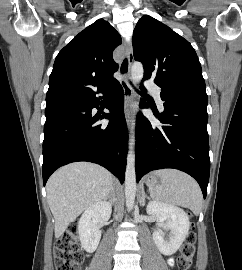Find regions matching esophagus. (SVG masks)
<instances>
[{
    "instance_id": "34e87169",
    "label": "esophagus",
    "mask_w": 242,
    "mask_h": 270,
    "mask_svg": "<svg viewBox=\"0 0 242 270\" xmlns=\"http://www.w3.org/2000/svg\"><path fill=\"white\" fill-rule=\"evenodd\" d=\"M126 57L128 62V72L126 77L123 79L122 87L124 90L125 97V116L127 125L130 126L131 116H130V104L133 97V90L131 87V77H130V68L134 60L133 49L131 43H127L126 45Z\"/></svg>"
}]
</instances>
